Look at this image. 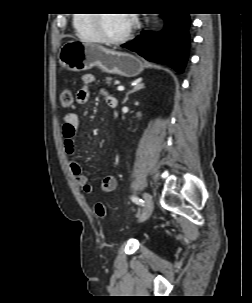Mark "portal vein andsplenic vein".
Segmentation results:
<instances>
[{"label": "portal vein and splenic vein", "instance_id": "18ae733b", "mask_svg": "<svg viewBox=\"0 0 252 303\" xmlns=\"http://www.w3.org/2000/svg\"><path fill=\"white\" fill-rule=\"evenodd\" d=\"M124 89H125V88H124L123 86H121V85L117 87V90H118V91H123Z\"/></svg>", "mask_w": 252, "mask_h": 303}]
</instances>
